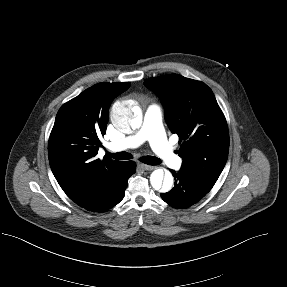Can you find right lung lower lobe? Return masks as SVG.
<instances>
[{
  "label": "right lung lower lobe",
  "instance_id": "right-lung-lower-lobe-1",
  "mask_svg": "<svg viewBox=\"0 0 287 287\" xmlns=\"http://www.w3.org/2000/svg\"><path fill=\"white\" fill-rule=\"evenodd\" d=\"M134 173L135 163L123 162L119 171L106 180L90 200L79 206L92 212H103L112 208L123 199L128 178Z\"/></svg>",
  "mask_w": 287,
  "mask_h": 287
}]
</instances>
